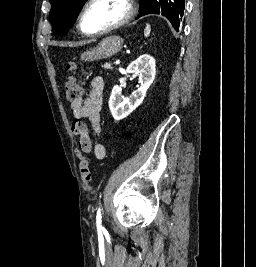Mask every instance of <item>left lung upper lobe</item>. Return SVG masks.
<instances>
[{
  "mask_svg": "<svg viewBox=\"0 0 256 267\" xmlns=\"http://www.w3.org/2000/svg\"><path fill=\"white\" fill-rule=\"evenodd\" d=\"M87 0H50V20L56 33L65 35L75 23L83 4ZM147 14H161L171 23L175 16L174 0H141L137 18Z\"/></svg>",
  "mask_w": 256,
  "mask_h": 267,
  "instance_id": "left-lung-upper-lobe-1",
  "label": "left lung upper lobe"
}]
</instances>
